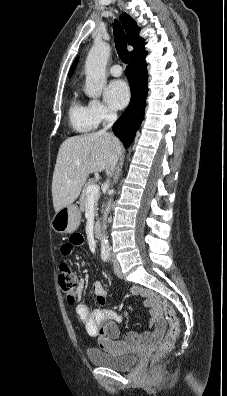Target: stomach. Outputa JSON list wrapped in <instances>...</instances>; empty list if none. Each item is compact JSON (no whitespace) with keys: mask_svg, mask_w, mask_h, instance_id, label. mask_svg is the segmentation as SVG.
Listing matches in <instances>:
<instances>
[{"mask_svg":"<svg viewBox=\"0 0 227 396\" xmlns=\"http://www.w3.org/2000/svg\"><path fill=\"white\" fill-rule=\"evenodd\" d=\"M81 214L75 205L63 207L54 215L51 226L57 233L68 234L75 231L80 224Z\"/></svg>","mask_w":227,"mask_h":396,"instance_id":"obj_1","label":"stomach"}]
</instances>
